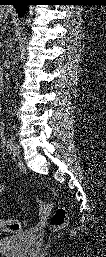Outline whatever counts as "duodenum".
Returning <instances> with one entry per match:
<instances>
[{
    "mask_svg": "<svg viewBox=\"0 0 106 257\" xmlns=\"http://www.w3.org/2000/svg\"><path fill=\"white\" fill-rule=\"evenodd\" d=\"M0 85H2V80H0Z\"/></svg>",
    "mask_w": 106,
    "mask_h": 257,
    "instance_id": "410a0bca",
    "label": "duodenum"
}]
</instances>
